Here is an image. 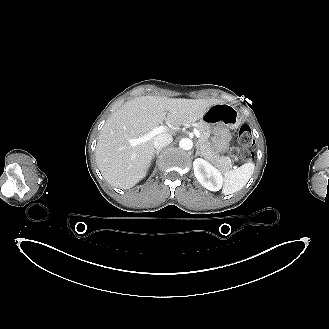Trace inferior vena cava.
I'll return each mask as SVG.
<instances>
[{
  "label": "inferior vena cava",
  "instance_id": "obj_1",
  "mask_svg": "<svg viewBox=\"0 0 329 329\" xmlns=\"http://www.w3.org/2000/svg\"><path fill=\"white\" fill-rule=\"evenodd\" d=\"M173 141V138L170 134H159L157 135L154 140L153 144L156 149H161L167 145H169Z\"/></svg>",
  "mask_w": 329,
  "mask_h": 329
}]
</instances>
